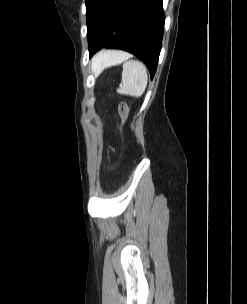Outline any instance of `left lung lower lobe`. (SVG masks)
Listing matches in <instances>:
<instances>
[{"mask_svg":"<svg viewBox=\"0 0 247 304\" xmlns=\"http://www.w3.org/2000/svg\"><path fill=\"white\" fill-rule=\"evenodd\" d=\"M163 0H102L87 23L89 56L99 49L118 48L138 56L155 75L165 15Z\"/></svg>","mask_w":247,"mask_h":304,"instance_id":"0a47b994","label":"left lung lower lobe"}]
</instances>
